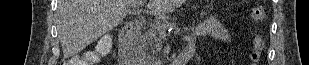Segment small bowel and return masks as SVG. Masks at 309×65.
<instances>
[{"instance_id":"c3829d8e","label":"small bowel","mask_w":309,"mask_h":65,"mask_svg":"<svg viewBox=\"0 0 309 65\" xmlns=\"http://www.w3.org/2000/svg\"><path fill=\"white\" fill-rule=\"evenodd\" d=\"M205 35H211L226 43L230 40L227 30L222 24L216 18H208L194 29L193 35L189 38L186 47L191 46L194 48L196 36Z\"/></svg>"}]
</instances>
